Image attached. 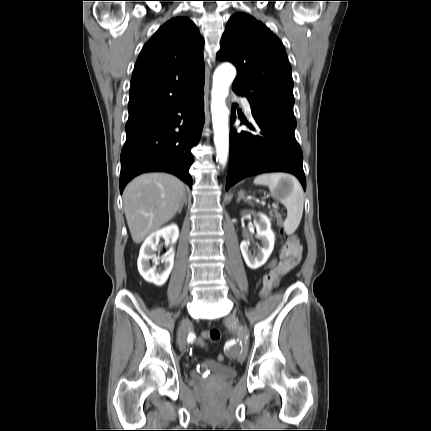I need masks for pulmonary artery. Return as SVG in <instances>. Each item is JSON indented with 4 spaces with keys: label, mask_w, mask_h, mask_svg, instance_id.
Segmentation results:
<instances>
[{
    "label": "pulmonary artery",
    "mask_w": 431,
    "mask_h": 431,
    "mask_svg": "<svg viewBox=\"0 0 431 431\" xmlns=\"http://www.w3.org/2000/svg\"><path fill=\"white\" fill-rule=\"evenodd\" d=\"M241 103L243 105V108H244L246 114L248 116H251L252 112H251V105H250L249 101L247 99H241Z\"/></svg>",
    "instance_id": "1"
}]
</instances>
